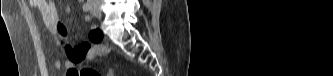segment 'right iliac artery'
Returning a JSON list of instances; mask_svg holds the SVG:
<instances>
[{"instance_id":"82829eb1","label":"right iliac artery","mask_w":333,"mask_h":76,"mask_svg":"<svg viewBox=\"0 0 333 76\" xmlns=\"http://www.w3.org/2000/svg\"><path fill=\"white\" fill-rule=\"evenodd\" d=\"M91 2H86L85 4H84V6H83V10L84 11H89L90 9H91Z\"/></svg>"}]
</instances>
